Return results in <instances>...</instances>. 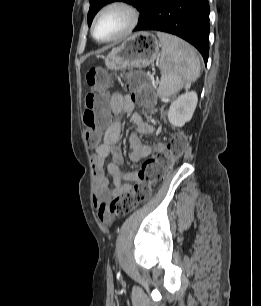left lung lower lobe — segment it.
I'll list each match as a JSON object with an SVG mask.
<instances>
[{
	"instance_id": "1",
	"label": "left lung lower lobe",
	"mask_w": 261,
	"mask_h": 306,
	"mask_svg": "<svg viewBox=\"0 0 261 306\" xmlns=\"http://www.w3.org/2000/svg\"><path fill=\"white\" fill-rule=\"evenodd\" d=\"M208 0H147L134 31L157 30L191 43L208 61Z\"/></svg>"
}]
</instances>
